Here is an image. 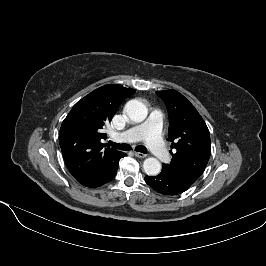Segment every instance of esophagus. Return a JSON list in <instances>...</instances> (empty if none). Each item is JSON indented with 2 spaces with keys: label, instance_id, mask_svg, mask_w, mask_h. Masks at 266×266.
I'll return each instance as SVG.
<instances>
[{
  "label": "esophagus",
  "instance_id": "1",
  "mask_svg": "<svg viewBox=\"0 0 266 266\" xmlns=\"http://www.w3.org/2000/svg\"><path fill=\"white\" fill-rule=\"evenodd\" d=\"M134 155H135L136 157H138V158H145V157H146V155L143 154V153H141V152H134Z\"/></svg>",
  "mask_w": 266,
  "mask_h": 266
}]
</instances>
